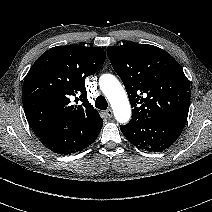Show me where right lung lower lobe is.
I'll return each instance as SVG.
<instances>
[{
    "label": "right lung lower lobe",
    "mask_w": 212,
    "mask_h": 212,
    "mask_svg": "<svg viewBox=\"0 0 212 212\" xmlns=\"http://www.w3.org/2000/svg\"><path fill=\"white\" fill-rule=\"evenodd\" d=\"M103 122L87 128L75 125L65 129L48 131L38 135L41 143L57 154L68 155L79 152L91 145L100 133Z\"/></svg>",
    "instance_id": "obj_1"
}]
</instances>
